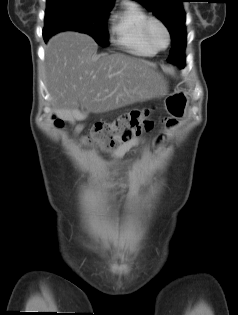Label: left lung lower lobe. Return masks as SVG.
<instances>
[{
  "mask_svg": "<svg viewBox=\"0 0 238 315\" xmlns=\"http://www.w3.org/2000/svg\"><path fill=\"white\" fill-rule=\"evenodd\" d=\"M172 48L170 50V56L178 61L179 66L185 64L184 49L186 36L183 34H176L171 36Z\"/></svg>",
  "mask_w": 238,
  "mask_h": 315,
  "instance_id": "1",
  "label": "left lung lower lobe"
}]
</instances>
